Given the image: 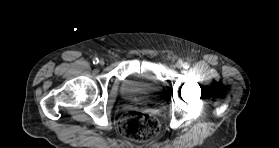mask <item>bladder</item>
<instances>
[{
	"label": "bladder",
	"mask_w": 279,
	"mask_h": 148,
	"mask_svg": "<svg viewBox=\"0 0 279 148\" xmlns=\"http://www.w3.org/2000/svg\"><path fill=\"white\" fill-rule=\"evenodd\" d=\"M121 95L144 105H159L162 102L163 86L152 64L142 70L131 71L122 80Z\"/></svg>",
	"instance_id": "obj_1"
}]
</instances>
